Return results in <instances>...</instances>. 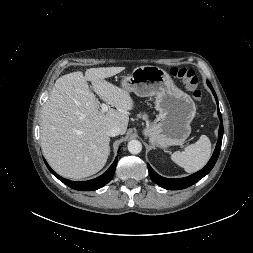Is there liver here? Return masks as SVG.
I'll list each match as a JSON object with an SVG mask.
<instances>
[{
	"mask_svg": "<svg viewBox=\"0 0 253 253\" xmlns=\"http://www.w3.org/2000/svg\"><path fill=\"white\" fill-rule=\"evenodd\" d=\"M125 67H99L72 72L58 78L43 106L41 147L50 166L61 176L81 179L100 171L110 153L107 129L113 125L125 134L128 111L134 102L128 91L108 81ZM101 100L115 107L103 113Z\"/></svg>",
	"mask_w": 253,
	"mask_h": 253,
	"instance_id": "obj_1",
	"label": "liver"
}]
</instances>
